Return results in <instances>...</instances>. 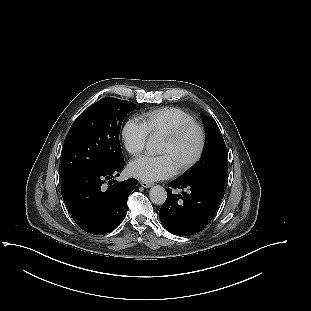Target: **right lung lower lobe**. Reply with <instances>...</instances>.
Returning a JSON list of instances; mask_svg holds the SVG:
<instances>
[{"instance_id":"1","label":"right lung lower lobe","mask_w":311,"mask_h":311,"mask_svg":"<svg viewBox=\"0 0 311 311\" xmlns=\"http://www.w3.org/2000/svg\"><path fill=\"white\" fill-rule=\"evenodd\" d=\"M123 167L124 162L111 168L85 169L62 180L63 200L84 231L107 234L124 220L127 199L138 181L134 178L122 182L113 180Z\"/></svg>"}]
</instances>
